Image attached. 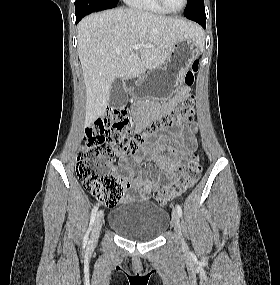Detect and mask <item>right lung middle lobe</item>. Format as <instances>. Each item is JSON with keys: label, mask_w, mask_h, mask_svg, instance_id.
<instances>
[{"label": "right lung middle lobe", "mask_w": 280, "mask_h": 285, "mask_svg": "<svg viewBox=\"0 0 280 285\" xmlns=\"http://www.w3.org/2000/svg\"><path fill=\"white\" fill-rule=\"evenodd\" d=\"M119 0H76V16H85L89 13L114 8Z\"/></svg>", "instance_id": "1"}]
</instances>
